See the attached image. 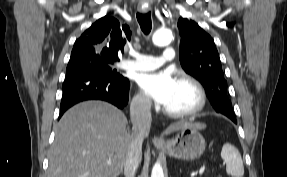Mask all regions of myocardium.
Listing matches in <instances>:
<instances>
[{
  "label": "myocardium",
  "mask_w": 287,
  "mask_h": 177,
  "mask_svg": "<svg viewBox=\"0 0 287 177\" xmlns=\"http://www.w3.org/2000/svg\"><path fill=\"white\" fill-rule=\"evenodd\" d=\"M178 81L185 83V84H188L189 86H191L193 88V90L196 93L197 103L192 109H189V110L170 111L166 108H163V112L167 116L173 117V118L190 117V116H194V115L198 114L200 111L203 110V108L205 107L206 102H207V94H206L204 87L202 86V84L197 79H195L194 77L187 75V74H181L178 77Z\"/></svg>",
  "instance_id": "1"
}]
</instances>
